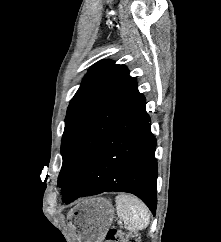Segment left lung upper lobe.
<instances>
[{
    "label": "left lung upper lobe",
    "instance_id": "obj_1",
    "mask_svg": "<svg viewBox=\"0 0 221 242\" xmlns=\"http://www.w3.org/2000/svg\"><path fill=\"white\" fill-rule=\"evenodd\" d=\"M143 97L126 66L104 60L89 69L65 118L63 165L58 177L62 191L77 176L100 137Z\"/></svg>",
    "mask_w": 221,
    "mask_h": 242
}]
</instances>
